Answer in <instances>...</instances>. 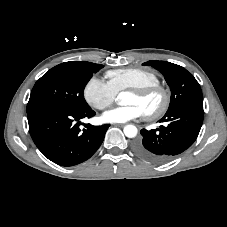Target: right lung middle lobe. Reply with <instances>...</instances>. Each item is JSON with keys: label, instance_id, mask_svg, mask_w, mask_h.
Listing matches in <instances>:
<instances>
[{"label": "right lung middle lobe", "instance_id": "obj_1", "mask_svg": "<svg viewBox=\"0 0 227 227\" xmlns=\"http://www.w3.org/2000/svg\"><path fill=\"white\" fill-rule=\"evenodd\" d=\"M101 67L91 62L70 61L50 69L35 83L27 112L43 106L76 110L88 108L83 96L84 85Z\"/></svg>", "mask_w": 227, "mask_h": 227}]
</instances>
